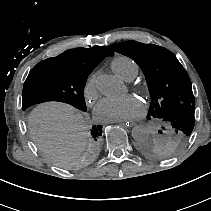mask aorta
Wrapping results in <instances>:
<instances>
[{
  "label": "aorta",
  "mask_w": 211,
  "mask_h": 211,
  "mask_svg": "<svg viewBox=\"0 0 211 211\" xmlns=\"http://www.w3.org/2000/svg\"><path fill=\"white\" fill-rule=\"evenodd\" d=\"M98 90L107 97H118L124 92L123 83L114 76L102 74L97 79ZM149 136V130L144 125H136L132 129V137L135 141H142Z\"/></svg>",
  "instance_id": "1"
}]
</instances>
